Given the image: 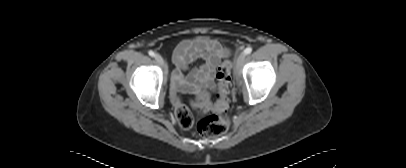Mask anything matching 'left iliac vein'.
Returning <instances> with one entry per match:
<instances>
[{
	"instance_id": "1",
	"label": "left iliac vein",
	"mask_w": 406,
	"mask_h": 168,
	"mask_svg": "<svg viewBox=\"0 0 406 168\" xmlns=\"http://www.w3.org/2000/svg\"><path fill=\"white\" fill-rule=\"evenodd\" d=\"M245 56H246L245 53H241V54H239V56L235 60V67H236L237 76H239L240 73H241V66H242V63H243V61L245 59Z\"/></svg>"
}]
</instances>
